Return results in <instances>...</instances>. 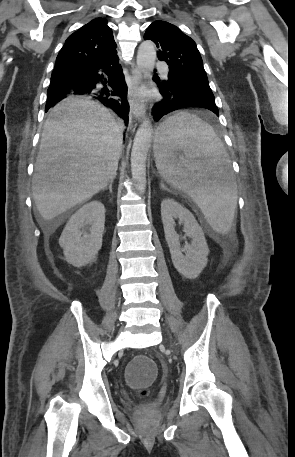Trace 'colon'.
<instances>
[{
  "label": "colon",
  "instance_id": "obj_1",
  "mask_svg": "<svg viewBox=\"0 0 295 457\" xmlns=\"http://www.w3.org/2000/svg\"><path fill=\"white\" fill-rule=\"evenodd\" d=\"M157 375V366L156 363H153L152 357H132L131 363L125 369L129 389L139 390L141 397L148 395L147 390L152 389V383L155 382Z\"/></svg>",
  "mask_w": 295,
  "mask_h": 457
}]
</instances>
